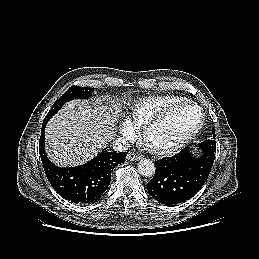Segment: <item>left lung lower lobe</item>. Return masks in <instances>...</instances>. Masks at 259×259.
<instances>
[{
    "label": "left lung lower lobe",
    "instance_id": "obj_1",
    "mask_svg": "<svg viewBox=\"0 0 259 259\" xmlns=\"http://www.w3.org/2000/svg\"><path fill=\"white\" fill-rule=\"evenodd\" d=\"M186 147L172 157L155 161L154 177L147 190L158 202L173 205L192 198L206 182L215 159L216 147L199 144L201 156L195 158Z\"/></svg>",
    "mask_w": 259,
    "mask_h": 259
}]
</instances>
